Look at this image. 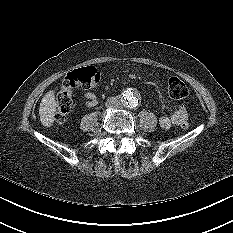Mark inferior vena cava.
<instances>
[{
    "label": "inferior vena cava",
    "mask_w": 233,
    "mask_h": 233,
    "mask_svg": "<svg viewBox=\"0 0 233 233\" xmlns=\"http://www.w3.org/2000/svg\"><path fill=\"white\" fill-rule=\"evenodd\" d=\"M106 106L108 108L118 109L122 107V101L118 97H112L107 100Z\"/></svg>",
    "instance_id": "obj_1"
}]
</instances>
